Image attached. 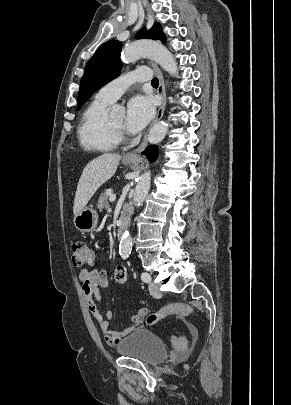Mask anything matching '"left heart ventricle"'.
I'll list each match as a JSON object with an SVG mask.
<instances>
[{
  "mask_svg": "<svg viewBox=\"0 0 291 405\" xmlns=\"http://www.w3.org/2000/svg\"><path fill=\"white\" fill-rule=\"evenodd\" d=\"M114 126L118 128H123L125 126V115L121 114L110 121Z\"/></svg>",
  "mask_w": 291,
  "mask_h": 405,
  "instance_id": "1",
  "label": "left heart ventricle"
}]
</instances>
